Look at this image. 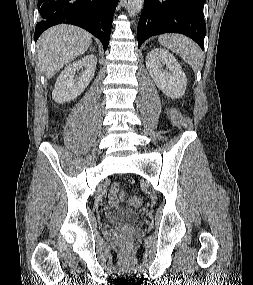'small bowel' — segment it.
Wrapping results in <instances>:
<instances>
[{
  "label": "small bowel",
  "instance_id": "small-bowel-1",
  "mask_svg": "<svg viewBox=\"0 0 253 285\" xmlns=\"http://www.w3.org/2000/svg\"><path fill=\"white\" fill-rule=\"evenodd\" d=\"M123 191L118 183H115L109 192L108 201L111 206H118L123 200Z\"/></svg>",
  "mask_w": 253,
  "mask_h": 285
}]
</instances>
